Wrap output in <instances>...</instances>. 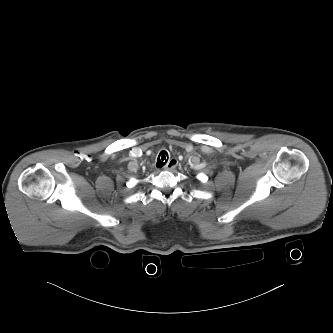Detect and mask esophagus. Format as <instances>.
I'll return each instance as SVG.
<instances>
[{
    "label": "esophagus",
    "instance_id": "1",
    "mask_svg": "<svg viewBox=\"0 0 333 333\" xmlns=\"http://www.w3.org/2000/svg\"><path fill=\"white\" fill-rule=\"evenodd\" d=\"M177 159L175 158H172L168 161V163L164 166V170H167V171H172L176 168L177 166Z\"/></svg>",
    "mask_w": 333,
    "mask_h": 333
}]
</instances>
